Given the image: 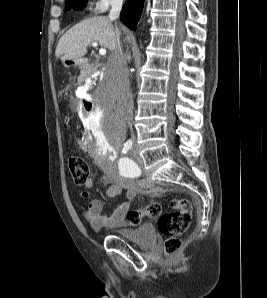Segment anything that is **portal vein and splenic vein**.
<instances>
[{"label":"portal vein and splenic vein","mask_w":267,"mask_h":298,"mask_svg":"<svg viewBox=\"0 0 267 298\" xmlns=\"http://www.w3.org/2000/svg\"><path fill=\"white\" fill-rule=\"evenodd\" d=\"M92 46L93 47H97L98 46V43L97 42H92ZM99 54L100 55H105L106 54V49L105 48H100Z\"/></svg>","instance_id":"18ae733b"}]
</instances>
